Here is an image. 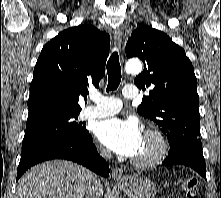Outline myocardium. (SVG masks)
Returning <instances> with one entry per match:
<instances>
[{"label":"myocardium","mask_w":221,"mask_h":198,"mask_svg":"<svg viewBox=\"0 0 221 198\" xmlns=\"http://www.w3.org/2000/svg\"><path fill=\"white\" fill-rule=\"evenodd\" d=\"M143 136L151 138L155 143L154 151L147 157L131 159V163L138 168H149L159 164L167 155L169 145L164 134L153 127L144 130Z\"/></svg>","instance_id":"1"}]
</instances>
